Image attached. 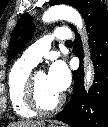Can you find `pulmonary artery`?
<instances>
[{
  "mask_svg": "<svg viewBox=\"0 0 108 127\" xmlns=\"http://www.w3.org/2000/svg\"><path fill=\"white\" fill-rule=\"evenodd\" d=\"M71 32L67 28H58L53 34L46 35L33 45H31L22 55L24 61L37 65L42 57L50 50L51 42L54 39L69 40L71 38Z\"/></svg>",
  "mask_w": 108,
  "mask_h": 127,
  "instance_id": "1",
  "label": "pulmonary artery"
}]
</instances>
